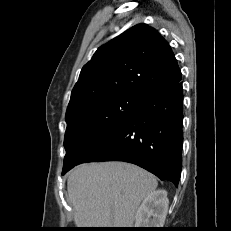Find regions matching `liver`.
Here are the masks:
<instances>
[{
    "label": "liver",
    "mask_w": 231,
    "mask_h": 231,
    "mask_svg": "<svg viewBox=\"0 0 231 231\" xmlns=\"http://www.w3.org/2000/svg\"><path fill=\"white\" fill-rule=\"evenodd\" d=\"M158 182L125 162L82 164L69 174L67 189L79 228H132L141 201Z\"/></svg>",
    "instance_id": "6515ba94"
}]
</instances>
